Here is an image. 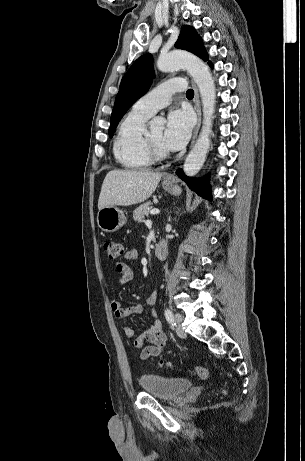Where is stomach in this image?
<instances>
[{
	"mask_svg": "<svg viewBox=\"0 0 305 461\" xmlns=\"http://www.w3.org/2000/svg\"><path fill=\"white\" fill-rule=\"evenodd\" d=\"M165 191L172 195L178 196L181 194V188L173 181L162 183ZM97 223L104 232H115L126 223L124 212L115 206L105 207L98 211Z\"/></svg>",
	"mask_w": 305,
	"mask_h": 461,
	"instance_id": "obj_1",
	"label": "stomach"
}]
</instances>
